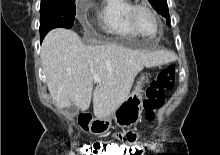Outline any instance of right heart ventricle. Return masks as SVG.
Listing matches in <instances>:
<instances>
[{"label": "right heart ventricle", "instance_id": "obj_1", "mask_svg": "<svg viewBox=\"0 0 220 155\" xmlns=\"http://www.w3.org/2000/svg\"><path fill=\"white\" fill-rule=\"evenodd\" d=\"M131 0H101L96 11L95 21L103 32L119 38H134L137 34L128 22Z\"/></svg>", "mask_w": 220, "mask_h": 155}]
</instances>
